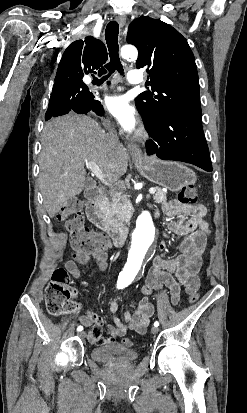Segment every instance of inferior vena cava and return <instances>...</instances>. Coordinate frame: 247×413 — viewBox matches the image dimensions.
<instances>
[{
    "label": "inferior vena cava",
    "mask_w": 247,
    "mask_h": 413,
    "mask_svg": "<svg viewBox=\"0 0 247 413\" xmlns=\"http://www.w3.org/2000/svg\"><path fill=\"white\" fill-rule=\"evenodd\" d=\"M105 136L109 142H112V144H117V142H120L118 134L114 128H109V132H106Z\"/></svg>",
    "instance_id": "inferior-vena-cava-1"
}]
</instances>
